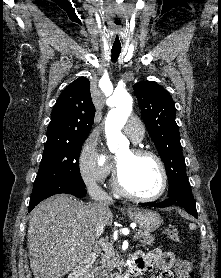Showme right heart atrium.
<instances>
[{
	"label": "right heart atrium",
	"mask_w": 221,
	"mask_h": 278,
	"mask_svg": "<svg viewBox=\"0 0 221 278\" xmlns=\"http://www.w3.org/2000/svg\"><path fill=\"white\" fill-rule=\"evenodd\" d=\"M78 169L82 180L90 185L104 181L112 172V167L98 153L96 141L91 137L83 144Z\"/></svg>",
	"instance_id": "1"
}]
</instances>
